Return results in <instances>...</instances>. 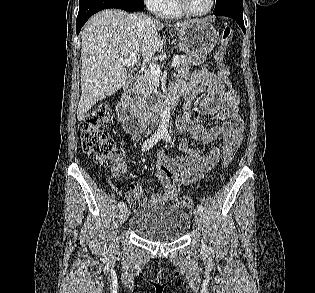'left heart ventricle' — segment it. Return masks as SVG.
I'll use <instances>...</instances> for the list:
<instances>
[{"mask_svg":"<svg viewBox=\"0 0 315 293\" xmlns=\"http://www.w3.org/2000/svg\"><path fill=\"white\" fill-rule=\"evenodd\" d=\"M189 10L193 12H202L209 6L210 0H185Z\"/></svg>","mask_w":315,"mask_h":293,"instance_id":"obj_1","label":"left heart ventricle"}]
</instances>
